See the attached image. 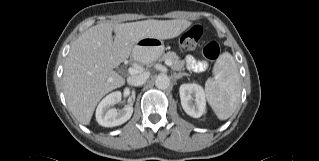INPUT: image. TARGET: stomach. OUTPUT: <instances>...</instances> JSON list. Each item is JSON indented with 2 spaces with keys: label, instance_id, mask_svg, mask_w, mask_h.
<instances>
[{
  "label": "stomach",
  "instance_id": "stomach-1",
  "mask_svg": "<svg viewBox=\"0 0 319 161\" xmlns=\"http://www.w3.org/2000/svg\"><path fill=\"white\" fill-rule=\"evenodd\" d=\"M164 51V43L157 38L140 39L133 48V57L142 63H151L157 60Z\"/></svg>",
  "mask_w": 319,
  "mask_h": 161
}]
</instances>
